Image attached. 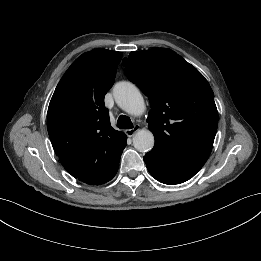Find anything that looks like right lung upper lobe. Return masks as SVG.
I'll return each mask as SVG.
<instances>
[{
  "mask_svg": "<svg viewBox=\"0 0 261 261\" xmlns=\"http://www.w3.org/2000/svg\"><path fill=\"white\" fill-rule=\"evenodd\" d=\"M121 52L82 54L58 83L47 112V129L64 168L80 181L99 185L118 169L125 133L112 128L104 97L112 87Z\"/></svg>",
  "mask_w": 261,
  "mask_h": 261,
  "instance_id": "obj_1",
  "label": "right lung upper lobe"
}]
</instances>
